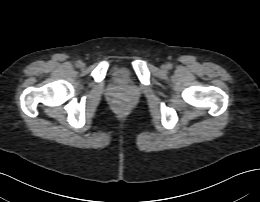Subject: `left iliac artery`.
Here are the masks:
<instances>
[{
  "label": "left iliac artery",
  "mask_w": 260,
  "mask_h": 202,
  "mask_svg": "<svg viewBox=\"0 0 260 202\" xmlns=\"http://www.w3.org/2000/svg\"><path fill=\"white\" fill-rule=\"evenodd\" d=\"M167 68H168V69H171V68H172V64H171V63H168V64H167Z\"/></svg>",
  "instance_id": "obj_1"
}]
</instances>
